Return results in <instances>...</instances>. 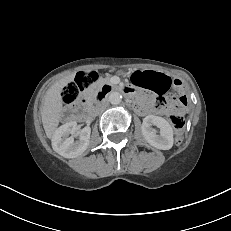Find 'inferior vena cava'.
Returning <instances> with one entry per match:
<instances>
[{"label": "inferior vena cava", "instance_id": "obj_1", "mask_svg": "<svg viewBox=\"0 0 231 231\" xmlns=\"http://www.w3.org/2000/svg\"><path fill=\"white\" fill-rule=\"evenodd\" d=\"M105 106H106V104H104V105L98 107L97 110H96V112H95V114H96V115L99 114V112H101Z\"/></svg>", "mask_w": 231, "mask_h": 231}]
</instances>
